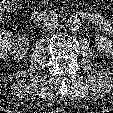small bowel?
I'll list each match as a JSON object with an SVG mask.
<instances>
[{
  "instance_id": "small-bowel-1",
  "label": "small bowel",
  "mask_w": 113,
  "mask_h": 113,
  "mask_svg": "<svg viewBox=\"0 0 113 113\" xmlns=\"http://www.w3.org/2000/svg\"><path fill=\"white\" fill-rule=\"evenodd\" d=\"M87 19L95 27L107 32L113 36V21L108 20L106 17L99 13H88Z\"/></svg>"
}]
</instances>
